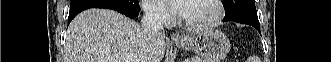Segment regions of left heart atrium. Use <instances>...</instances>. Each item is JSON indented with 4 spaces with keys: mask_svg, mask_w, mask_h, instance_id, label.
I'll list each match as a JSON object with an SVG mask.
<instances>
[{
    "mask_svg": "<svg viewBox=\"0 0 331 62\" xmlns=\"http://www.w3.org/2000/svg\"><path fill=\"white\" fill-rule=\"evenodd\" d=\"M163 3H165L172 12L183 14L186 9V4L188 1L186 0H162Z\"/></svg>",
    "mask_w": 331,
    "mask_h": 62,
    "instance_id": "obj_1",
    "label": "left heart atrium"
}]
</instances>
